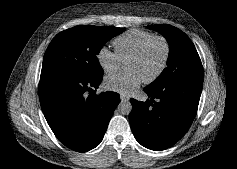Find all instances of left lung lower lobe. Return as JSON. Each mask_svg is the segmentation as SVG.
I'll list each match as a JSON object with an SVG mask.
<instances>
[{"label":"left lung lower lobe","instance_id":"0a47b994","mask_svg":"<svg viewBox=\"0 0 237 169\" xmlns=\"http://www.w3.org/2000/svg\"><path fill=\"white\" fill-rule=\"evenodd\" d=\"M203 77L181 79L156 87H145L146 102L131 99L130 125L144 147L160 151L178 142L188 131L202 91ZM154 98L159 99L158 102Z\"/></svg>","mask_w":237,"mask_h":169}]
</instances>
